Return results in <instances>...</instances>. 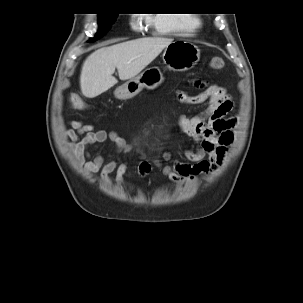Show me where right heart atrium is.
<instances>
[{
	"label": "right heart atrium",
	"instance_id": "obj_1",
	"mask_svg": "<svg viewBox=\"0 0 303 303\" xmlns=\"http://www.w3.org/2000/svg\"><path fill=\"white\" fill-rule=\"evenodd\" d=\"M132 23L135 24V23H136V20L134 19Z\"/></svg>",
	"mask_w": 303,
	"mask_h": 303
}]
</instances>
